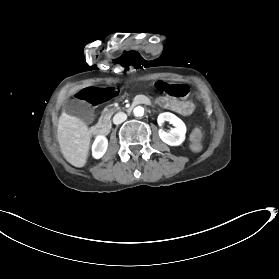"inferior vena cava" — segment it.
<instances>
[{
	"label": "inferior vena cava",
	"instance_id": "inferior-vena-cava-1",
	"mask_svg": "<svg viewBox=\"0 0 279 279\" xmlns=\"http://www.w3.org/2000/svg\"><path fill=\"white\" fill-rule=\"evenodd\" d=\"M126 118H127V115L124 114V113H122V112H120V113H118V114H116V115L114 116L113 122H114L115 124H120V123H122L123 121H125Z\"/></svg>",
	"mask_w": 279,
	"mask_h": 279
}]
</instances>
